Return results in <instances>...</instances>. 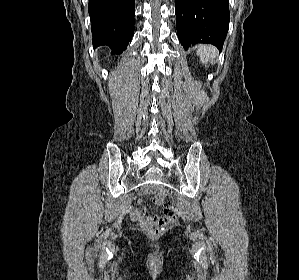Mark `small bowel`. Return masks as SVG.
<instances>
[{
  "label": "small bowel",
  "mask_w": 299,
  "mask_h": 280,
  "mask_svg": "<svg viewBox=\"0 0 299 280\" xmlns=\"http://www.w3.org/2000/svg\"><path fill=\"white\" fill-rule=\"evenodd\" d=\"M132 219L142 226H147L150 222V218H147L143 212L138 209H134L131 213Z\"/></svg>",
  "instance_id": "c3829d8e"
}]
</instances>
